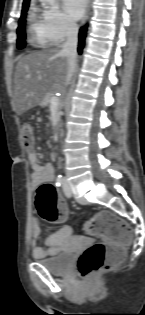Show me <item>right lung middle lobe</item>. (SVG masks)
<instances>
[{
	"label": "right lung middle lobe",
	"instance_id": "obj_1",
	"mask_svg": "<svg viewBox=\"0 0 145 315\" xmlns=\"http://www.w3.org/2000/svg\"><path fill=\"white\" fill-rule=\"evenodd\" d=\"M28 6H25L22 8L21 18L19 20V26L17 29V46L19 49L23 48L25 46V18H26V12H27Z\"/></svg>",
	"mask_w": 145,
	"mask_h": 315
}]
</instances>
